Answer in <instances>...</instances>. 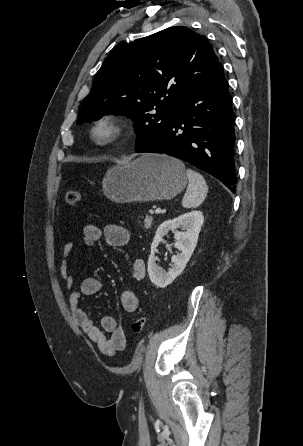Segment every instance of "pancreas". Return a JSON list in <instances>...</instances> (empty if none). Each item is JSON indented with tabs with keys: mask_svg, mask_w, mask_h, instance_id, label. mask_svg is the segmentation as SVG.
Wrapping results in <instances>:
<instances>
[{
	"mask_svg": "<svg viewBox=\"0 0 303 446\" xmlns=\"http://www.w3.org/2000/svg\"><path fill=\"white\" fill-rule=\"evenodd\" d=\"M153 224V218L147 215L144 219V228L149 229Z\"/></svg>",
	"mask_w": 303,
	"mask_h": 446,
	"instance_id": "1",
	"label": "pancreas"
}]
</instances>
